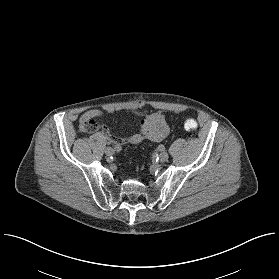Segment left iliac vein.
I'll use <instances>...</instances> for the list:
<instances>
[{"mask_svg": "<svg viewBox=\"0 0 279 279\" xmlns=\"http://www.w3.org/2000/svg\"><path fill=\"white\" fill-rule=\"evenodd\" d=\"M168 158H169V154L166 151L161 152L159 155V159L161 162L167 161Z\"/></svg>", "mask_w": 279, "mask_h": 279, "instance_id": "4c4485c4", "label": "left iliac vein"}]
</instances>
